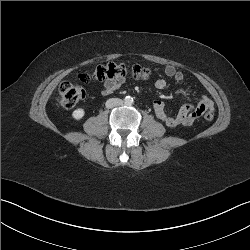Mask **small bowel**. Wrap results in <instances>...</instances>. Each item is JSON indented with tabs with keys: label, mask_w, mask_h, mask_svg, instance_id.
Wrapping results in <instances>:
<instances>
[{
	"label": "small bowel",
	"mask_w": 250,
	"mask_h": 250,
	"mask_svg": "<svg viewBox=\"0 0 250 250\" xmlns=\"http://www.w3.org/2000/svg\"><path fill=\"white\" fill-rule=\"evenodd\" d=\"M164 73L167 77L174 79L176 82H182L184 75L172 65H167L164 68ZM124 82V78L107 79L103 83L102 94L109 95L116 91ZM167 86V81L163 78L155 81V87L159 90ZM199 102L196 106L191 104L183 105L175 116L168 115L164 108V103L161 100L153 102V110L159 121L168 127L190 126L196 119L202 116L206 111L213 112L214 105L212 100L203 93H198Z\"/></svg>",
	"instance_id": "1"
}]
</instances>
